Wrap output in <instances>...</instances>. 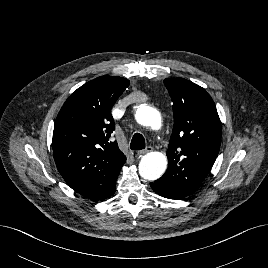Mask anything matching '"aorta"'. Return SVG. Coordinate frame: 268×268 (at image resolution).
<instances>
[{
    "label": "aorta",
    "instance_id": "aorta-1",
    "mask_svg": "<svg viewBox=\"0 0 268 268\" xmlns=\"http://www.w3.org/2000/svg\"><path fill=\"white\" fill-rule=\"evenodd\" d=\"M136 121L150 127L153 130H159L162 126L161 114L155 108L142 104L136 111ZM167 168V158L160 152H150L144 155L139 163V174L146 180H157L162 176Z\"/></svg>",
    "mask_w": 268,
    "mask_h": 268
}]
</instances>
